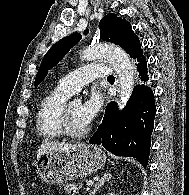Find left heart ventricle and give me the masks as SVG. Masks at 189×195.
I'll return each instance as SVG.
<instances>
[{
    "label": "left heart ventricle",
    "mask_w": 189,
    "mask_h": 195,
    "mask_svg": "<svg viewBox=\"0 0 189 195\" xmlns=\"http://www.w3.org/2000/svg\"><path fill=\"white\" fill-rule=\"evenodd\" d=\"M69 116L70 124L73 130L81 131L88 127V124L85 122L81 115V103L76 101L70 102Z\"/></svg>",
    "instance_id": "b2bd125f"
}]
</instances>
